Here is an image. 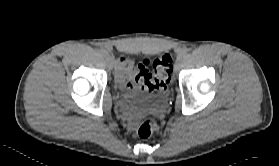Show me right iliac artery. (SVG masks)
<instances>
[{"label":"right iliac artery","mask_w":279,"mask_h":166,"mask_svg":"<svg viewBox=\"0 0 279 166\" xmlns=\"http://www.w3.org/2000/svg\"><path fill=\"white\" fill-rule=\"evenodd\" d=\"M99 53H100L101 55H103V56H107V55H108V52H107L106 50H104V49H101V50L99 51Z\"/></svg>","instance_id":"obj_1"}]
</instances>
